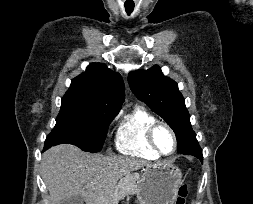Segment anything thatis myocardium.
<instances>
[{
    "label": "myocardium",
    "instance_id": "1",
    "mask_svg": "<svg viewBox=\"0 0 253 204\" xmlns=\"http://www.w3.org/2000/svg\"><path fill=\"white\" fill-rule=\"evenodd\" d=\"M160 126L165 127L169 131V133L171 134L172 139H173V149L168 154L162 152L155 141V131ZM147 141H148V144L150 145V147L159 156L169 157V156H172L177 151L178 139H177L176 133L173 130V128L165 121L155 120L152 124H150V126L147 129Z\"/></svg>",
    "mask_w": 253,
    "mask_h": 204
}]
</instances>
